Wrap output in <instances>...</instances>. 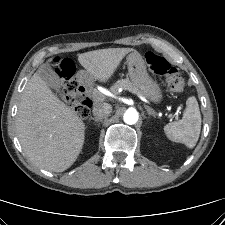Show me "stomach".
Here are the masks:
<instances>
[{
  "mask_svg": "<svg viewBox=\"0 0 225 225\" xmlns=\"http://www.w3.org/2000/svg\"><path fill=\"white\" fill-rule=\"evenodd\" d=\"M127 66L132 84L148 100L159 104L163 99L162 90L148 73L145 60L137 51L127 56Z\"/></svg>",
  "mask_w": 225,
  "mask_h": 225,
  "instance_id": "stomach-1",
  "label": "stomach"
}]
</instances>
